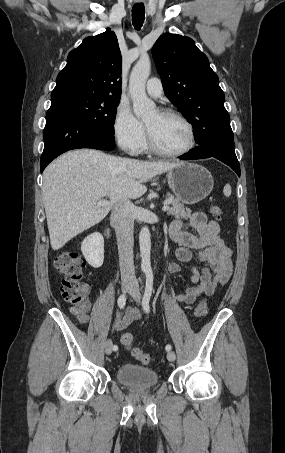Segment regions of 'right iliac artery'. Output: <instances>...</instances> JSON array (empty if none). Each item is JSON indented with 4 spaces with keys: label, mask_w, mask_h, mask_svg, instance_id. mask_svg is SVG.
Here are the masks:
<instances>
[{
    "label": "right iliac artery",
    "mask_w": 285,
    "mask_h": 453,
    "mask_svg": "<svg viewBox=\"0 0 285 453\" xmlns=\"http://www.w3.org/2000/svg\"><path fill=\"white\" fill-rule=\"evenodd\" d=\"M125 304H126V295L122 294L118 298V306L120 307V309H123L125 307ZM117 349H118V347L116 345H114L113 350L116 351Z\"/></svg>",
    "instance_id": "obj_1"
}]
</instances>
